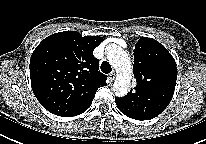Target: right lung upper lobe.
Listing matches in <instances>:
<instances>
[{
    "label": "right lung upper lobe",
    "instance_id": "obj_1",
    "mask_svg": "<svg viewBox=\"0 0 206 144\" xmlns=\"http://www.w3.org/2000/svg\"><path fill=\"white\" fill-rule=\"evenodd\" d=\"M101 41L99 36L65 31L50 35L36 47L30 59L31 86L45 109L69 117L107 85L93 56Z\"/></svg>",
    "mask_w": 206,
    "mask_h": 144
}]
</instances>
